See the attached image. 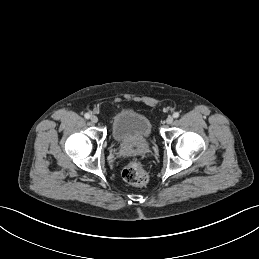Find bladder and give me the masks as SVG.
Returning a JSON list of instances; mask_svg holds the SVG:
<instances>
[{
  "label": "bladder",
  "instance_id": "bladder-1",
  "mask_svg": "<svg viewBox=\"0 0 259 259\" xmlns=\"http://www.w3.org/2000/svg\"><path fill=\"white\" fill-rule=\"evenodd\" d=\"M111 133L117 142H139L152 134L150 120L134 111H120L111 123Z\"/></svg>",
  "mask_w": 259,
  "mask_h": 259
}]
</instances>
